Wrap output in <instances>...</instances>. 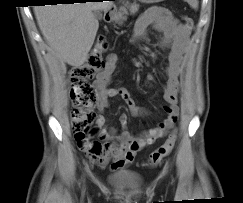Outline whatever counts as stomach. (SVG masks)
<instances>
[{
    "mask_svg": "<svg viewBox=\"0 0 243 203\" xmlns=\"http://www.w3.org/2000/svg\"><path fill=\"white\" fill-rule=\"evenodd\" d=\"M142 3H147V4H151V3H158V2H162L163 0H139ZM111 19L114 20L117 17V13H111L110 15Z\"/></svg>",
    "mask_w": 243,
    "mask_h": 203,
    "instance_id": "0dacf381",
    "label": "stomach"
}]
</instances>
